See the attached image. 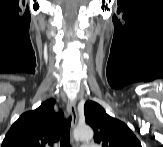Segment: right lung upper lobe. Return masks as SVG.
Wrapping results in <instances>:
<instances>
[{
	"instance_id": "obj_1",
	"label": "right lung upper lobe",
	"mask_w": 163,
	"mask_h": 147,
	"mask_svg": "<svg viewBox=\"0 0 163 147\" xmlns=\"http://www.w3.org/2000/svg\"><path fill=\"white\" fill-rule=\"evenodd\" d=\"M50 99L23 113L7 132L2 147H47L59 140L63 112L56 113Z\"/></svg>"
}]
</instances>
